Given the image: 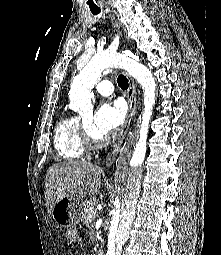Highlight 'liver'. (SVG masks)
<instances>
[{"mask_svg":"<svg viewBox=\"0 0 221 255\" xmlns=\"http://www.w3.org/2000/svg\"><path fill=\"white\" fill-rule=\"evenodd\" d=\"M102 169L91 162L66 161L51 166L45 179V198L49 215L54 205L68 195L99 194Z\"/></svg>","mask_w":221,"mask_h":255,"instance_id":"6515ba94","label":"liver"}]
</instances>
